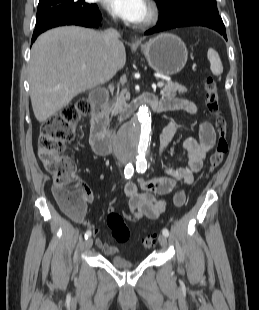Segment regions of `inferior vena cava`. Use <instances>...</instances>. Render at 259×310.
Masks as SVG:
<instances>
[{
    "label": "inferior vena cava",
    "mask_w": 259,
    "mask_h": 310,
    "mask_svg": "<svg viewBox=\"0 0 259 310\" xmlns=\"http://www.w3.org/2000/svg\"><path fill=\"white\" fill-rule=\"evenodd\" d=\"M120 34L114 28H110L103 33V38L107 47H112L119 43Z\"/></svg>",
    "instance_id": "1"
}]
</instances>
